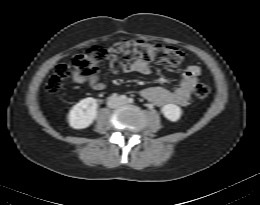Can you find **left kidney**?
<instances>
[{
	"label": "left kidney",
	"instance_id": "1",
	"mask_svg": "<svg viewBox=\"0 0 260 205\" xmlns=\"http://www.w3.org/2000/svg\"><path fill=\"white\" fill-rule=\"evenodd\" d=\"M161 111L164 117L172 122L178 121L182 115L181 108L175 104L164 105Z\"/></svg>",
	"mask_w": 260,
	"mask_h": 205
}]
</instances>
